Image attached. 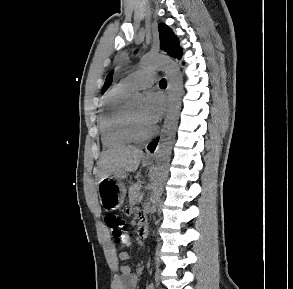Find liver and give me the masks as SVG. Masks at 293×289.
<instances>
[{
    "label": "liver",
    "mask_w": 293,
    "mask_h": 289,
    "mask_svg": "<svg viewBox=\"0 0 293 289\" xmlns=\"http://www.w3.org/2000/svg\"><path fill=\"white\" fill-rule=\"evenodd\" d=\"M144 153L131 146H119L102 153L99 162V181L116 172H134L138 169Z\"/></svg>",
    "instance_id": "liver-1"
}]
</instances>
